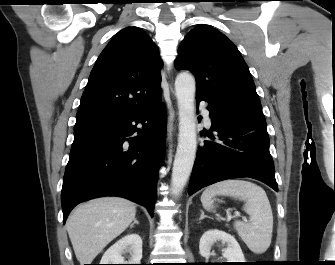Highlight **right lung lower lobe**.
I'll return each instance as SVG.
<instances>
[{
    "label": "right lung lower lobe",
    "mask_w": 335,
    "mask_h": 265,
    "mask_svg": "<svg viewBox=\"0 0 335 265\" xmlns=\"http://www.w3.org/2000/svg\"><path fill=\"white\" fill-rule=\"evenodd\" d=\"M166 127L161 99L148 109L75 130L63 178V222L77 204L101 196L130 199L153 216ZM135 132L137 137H129Z\"/></svg>",
    "instance_id": "obj_1"
}]
</instances>
